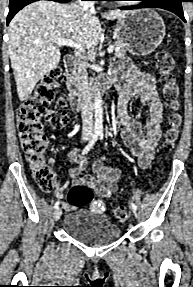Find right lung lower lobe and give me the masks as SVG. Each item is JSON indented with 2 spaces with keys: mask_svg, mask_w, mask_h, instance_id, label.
Listing matches in <instances>:
<instances>
[{
  "mask_svg": "<svg viewBox=\"0 0 193 287\" xmlns=\"http://www.w3.org/2000/svg\"><path fill=\"white\" fill-rule=\"evenodd\" d=\"M38 0H10V4H9V13L7 16V24H9V22L11 21V19L14 17V15L21 10L23 7H25L26 5L35 2ZM55 2H60V3H67L70 2L71 0H52Z\"/></svg>",
  "mask_w": 193,
  "mask_h": 287,
  "instance_id": "1",
  "label": "right lung lower lobe"
}]
</instances>
